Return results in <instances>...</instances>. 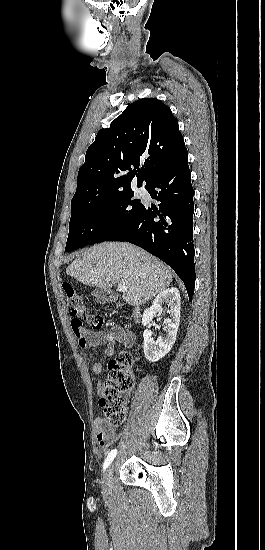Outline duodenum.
<instances>
[{
	"mask_svg": "<svg viewBox=\"0 0 265 550\" xmlns=\"http://www.w3.org/2000/svg\"><path fill=\"white\" fill-rule=\"evenodd\" d=\"M132 315H133L134 321L137 322L139 319V310L134 309Z\"/></svg>",
	"mask_w": 265,
	"mask_h": 550,
	"instance_id": "1",
	"label": "duodenum"
}]
</instances>
